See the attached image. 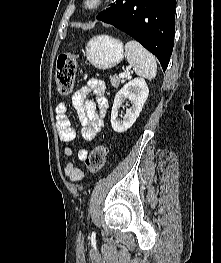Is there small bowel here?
<instances>
[{
	"label": "small bowel",
	"mask_w": 221,
	"mask_h": 263,
	"mask_svg": "<svg viewBox=\"0 0 221 263\" xmlns=\"http://www.w3.org/2000/svg\"><path fill=\"white\" fill-rule=\"evenodd\" d=\"M90 94H93V100L89 98ZM72 105L82 125V137L86 140H92L103 126V119L108 107L104 82L98 79L87 81L73 94ZM66 111L67 107L64 103L58 105L56 127L60 141L64 145L65 155L72 156L71 144L76 138V130L66 115ZM77 156L79 160H85L88 156V150L79 149ZM64 174L74 182L82 180L84 176L83 171L74 162H68L65 165Z\"/></svg>",
	"instance_id": "small-bowel-1"
}]
</instances>
